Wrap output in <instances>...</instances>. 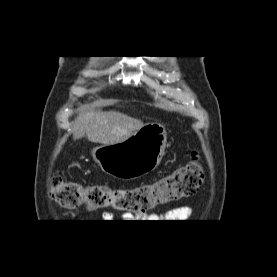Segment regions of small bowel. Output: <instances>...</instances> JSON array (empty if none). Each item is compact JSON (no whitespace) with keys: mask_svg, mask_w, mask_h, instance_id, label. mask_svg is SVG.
Masks as SVG:
<instances>
[{"mask_svg":"<svg viewBox=\"0 0 277 277\" xmlns=\"http://www.w3.org/2000/svg\"><path fill=\"white\" fill-rule=\"evenodd\" d=\"M76 215V211L72 213V216ZM192 215V208L189 206H179L174 207L168 210L165 213L154 212L149 214L148 216L136 218L139 220H146L145 222H163V220H167L166 222H183L188 220ZM104 219L111 220L112 214L109 212H105L103 214ZM123 219L126 221L133 220V216L131 214H124ZM169 220V221H168Z\"/></svg>","mask_w":277,"mask_h":277,"instance_id":"c3829d8e","label":"small bowel"}]
</instances>
